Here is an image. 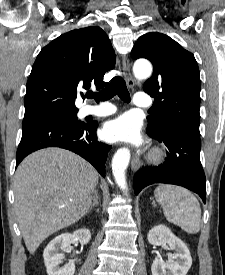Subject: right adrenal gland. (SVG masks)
I'll return each mask as SVG.
<instances>
[{"mask_svg": "<svg viewBox=\"0 0 225 275\" xmlns=\"http://www.w3.org/2000/svg\"><path fill=\"white\" fill-rule=\"evenodd\" d=\"M98 205H99V194H98V191H95L94 197H93V202H92L88 212H90L93 207H97Z\"/></svg>", "mask_w": 225, "mask_h": 275, "instance_id": "2a0ac1e0", "label": "right adrenal gland"}]
</instances>
